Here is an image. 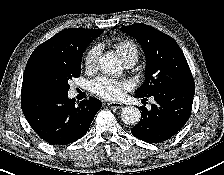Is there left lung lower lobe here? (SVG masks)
<instances>
[{"mask_svg": "<svg viewBox=\"0 0 224 175\" xmlns=\"http://www.w3.org/2000/svg\"><path fill=\"white\" fill-rule=\"evenodd\" d=\"M195 94L194 87L166 86L149 97L155 104L148 110L145 106L139 109L141 119L131 129L134 137L148 142L161 143L173 137L188 121ZM146 100L148 97H140Z\"/></svg>", "mask_w": 224, "mask_h": 175, "instance_id": "0a47b994", "label": "left lung lower lobe"}]
</instances>
